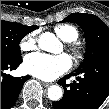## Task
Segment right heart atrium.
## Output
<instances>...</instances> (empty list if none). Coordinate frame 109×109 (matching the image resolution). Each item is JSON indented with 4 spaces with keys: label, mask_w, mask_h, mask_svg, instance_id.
<instances>
[{
    "label": "right heart atrium",
    "mask_w": 109,
    "mask_h": 109,
    "mask_svg": "<svg viewBox=\"0 0 109 109\" xmlns=\"http://www.w3.org/2000/svg\"><path fill=\"white\" fill-rule=\"evenodd\" d=\"M37 44V38L34 34H28L24 36L19 44L20 50L22 51H31L35 49Z\"/></svg>",
    "instance_id": "d8ad5b80"
}]
</instances>
